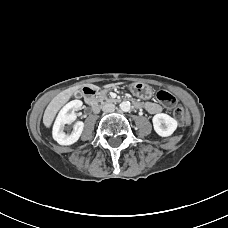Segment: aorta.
I'll list each match as a JSON object with an SVG mask.
<instances>
[{"label": "aorta", "mask_w": 228, "mask_h": 228, "mask_svg": "<svg viewBox=\"0 0 228 228\" xmlns=\"http://www.w3.org/2000/svg\"><path fill=\"white\" fill-rule=\"evenodd\" d=\"M131 108V104L129 101H123L120 103V109L123 112H128Z\"/></svg>", "instance_id": "aorta-1"}]
</instances>
